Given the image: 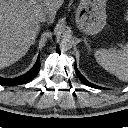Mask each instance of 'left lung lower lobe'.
Instances as JSON below:
<instances>
[{
    "label": "left lung lower lobe",
    "mask_w": 128,
    "mask_h": 128,
    "mask_svg": "<svg viewBox=\"0 0 128 128\" xmlns=\"http://www.w3.org/2000/svg\"><path fill=\"white\" fill-rule=\"evenodd\" d=\"M75 72L77 74V76L79 77V79L87 86H90V87H93V88H97L95 85L89 83L85 78L84 76L78 71L77 67H76V64H75Z\"/></svg>",
    "instance_id": "left-lung-lower-lobe-1"
}]
</instances>
